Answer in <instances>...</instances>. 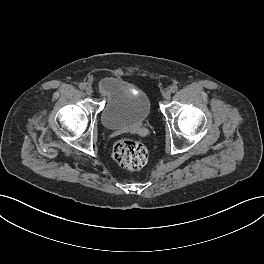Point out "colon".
I'll list each match as a JSON object with an SVG mask.
<instances>
[{
  "mask_svg": "<svg viewBox=\"0 0 264 264\" xmlns=\"http://www.w3.org/2000/svg\"><path fill=\"white\" fill-rule=\"evenodd\" d=\"M113 157L123 169L137 171L146 165L148 150L143 143L124 138L115 143Z\"/></svg>",
  "mask_w": 264,
  "mask_h": 264,
  "instance_id": "5ec220e1",
  "label": "colon"
}]
</instances>
